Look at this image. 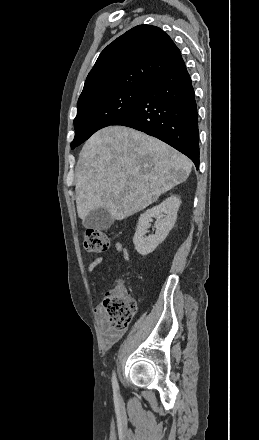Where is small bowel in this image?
<instances>
[{
    "label": "small bowel",
    "mask_w": 259,
    "mask_h": 440,
    "mask_svg": "<svg viewBox=\"0 0 259 440\" xmlns=\"http://www.w3.org/2000/svg\"><path fill=\"white\" fill-rule=\"evenodd\" d=\"M115 250L119 255L123 257L126 262L129 261L128 250L122 242H117L115 244ZM103 261V257H97L93 259L88 266V272L90 274L94 273L97 267L103 263ZM91 286L94 288L96 287V283L94 280H91ZM94 313L98 321L102 346L104 349H109L123 336L124 330L115 329L109 324L102 304H99L95 307Z\"/></svg>",
    "instance_id": "small-bowel-1"
}]
</instances>
